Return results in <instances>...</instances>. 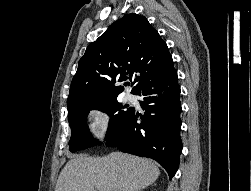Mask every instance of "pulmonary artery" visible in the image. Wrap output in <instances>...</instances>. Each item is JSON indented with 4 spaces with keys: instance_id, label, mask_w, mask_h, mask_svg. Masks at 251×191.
Wrapping results in <instances>:
<instances>
[{
    "instance_id": "1",
    "label": "pulmonary artery",
    "mask_w": 251,
    "mask_h": 191,
    "mask_svg": "<svg viewBox=\"0 0 251 191\" xmlns=\"http://www.w3.org/2000/svg\"><path fill=\"white\" fill-rule=\"evenodd\" d=\"M125 99H127V100H134V96L131 93H126L125 94Z\"/></svg>"
}]
</instances>
